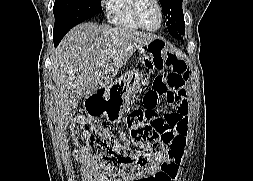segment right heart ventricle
<instances>
[{"mask_svg":"<svg viewBox=\"0 0 253 181\" xmlns=\"http://www.w3.org/2000/svg\"><path fill=\"white\" fill-rule=\"evenodd\" d=\"M133 4L134 0H103L108 23L122 30H140L133 17Z\"/></svg>","mask_w":253,"mask_h":181,"instance_id":"obj_1","label":"right heart ventricle"}]
</instances>
